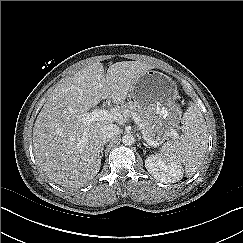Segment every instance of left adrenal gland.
Segmentation results:
<instances>
[{
	"instance_id": "1",
	"label": "left adrenal gland",
	"mask_w": 243,
	"mask_h": 243,
	"mask_svg": "<svg viewBox=\"0 0 243 243\" xmlns=\"http://www.w3.org/2000/svg\"><path fill=\"white\" fill-rule=\"evenodd\" d=\"M143 145H144L145 147L149 148V146H148L146 143H143Z\"/></svg>"
}]
</instances>
